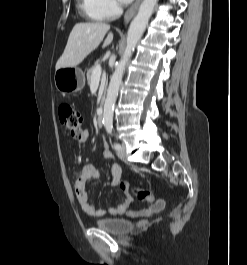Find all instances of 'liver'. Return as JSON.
<instances>
[{
  "label": "liver",
  "mask_w": 247,
  "mask_h": 265,
  "mask_svg": "<svg viewBox=\"0 0 247 265\" xmlns=\"http://www.w3.org/2000/svg\"><path fill=\"white\" fill-rule=\"evenodd\" d=\"M110 26L106 23H77L73 27L65 50L56 63V70L64 67H76L102 42ZM113 40L109 33L103 47H107Z\"/></svg>",
  "instance_id": "liver-1"
}]
</instances>
